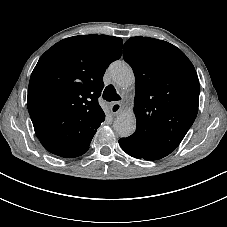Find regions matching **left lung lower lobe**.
Instances as JSON below:
<instances>
[{
	"label": "left lung lower lobe",
	"mask_w": 227,
	"mask_h": 227,
	"mask_svg": "<svg viewBox=\"0 0 227 227\" xmlns=\"http://www.w3.org/2000/svg\"><path fill=\"white\" fill-rule=\"evenodd\" d=\"M119 144L128 155L135 158L157 160L169 154V152L160 149L156 145L133 135L119 139Z\"/></svg>",
	"instance_id": "0a47b994"
}]
</instances>
